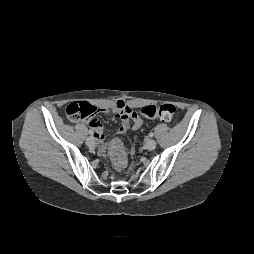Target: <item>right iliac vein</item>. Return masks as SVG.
Here are the masks:
<instances>
[{
  "mask_svg": "<svg viewBox=\"0 0 254 254\" xmlns=\"http://www.w3.org/2000/svg\"><path fill=\"white\" fill-rule=\"evenodd\" d=\"M86 144H87V146L88 147H93L94 145H95V140H94V138L93 137H88L87 139H86Z\"/></svg>",
  "mask_w": 254,
  "mask_h": 254,
  "instance_id": "obj_1",
  "label": "right iliac vein"
}]
</instances>
